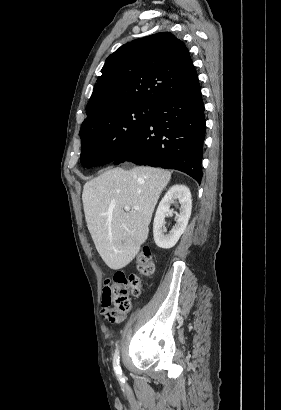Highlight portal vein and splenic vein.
<instances>
[{
    "mask_svg": "<svg viewBox=\"0 0 281 410\" xmlns=\"http://www.w3.org/2000/svg\"><path fill=\"white\" fill-rule=\"evenodd\" d=\"M133 209H134V210H137V211L140 210V208L137 207V206H134ZM124 210H125V211H129V210H130V207H129V206H125V207H124Z\"/></svg>",
    "mask_w": 281,
    "mask_h": 410,
    "instance_id": "obj_1",
    "label": "portal vein and splenic vein"
}]
</instances>
